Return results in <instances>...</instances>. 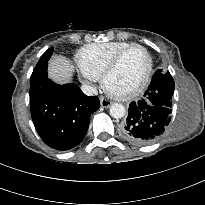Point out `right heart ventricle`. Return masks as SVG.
Instances as JSON below:
<instances>
[{
	"instance_id": "e07e8e85",
	"label": "right heart ventricle",
	"mask_w": 205,
	"mask_h": 205,
	"mask_svg": "<svg viewBox=\"0 0 205 205\" xmlns=\"http://www.w3.org/2000/svg\"><path fill=\"white\" fill-rule=\"evenodd\" d=\"M130 45L129 42L121 41L88 44L77 53L78 66L93 77L101 78L113 57Z\"/></svg>"
}]
</instances>
